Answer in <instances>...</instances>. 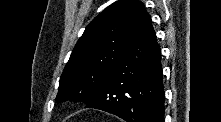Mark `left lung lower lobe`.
Segmentation results:
<instances>
[{
  "label": "left lung lower lobe",
  "instance_id": "0a47b994",
  "mask_svg": "<svg viewBox=\"0 0 221 122\" xmlns=\"http://www.w3.org/2000/svg\"><path fill=\"white\" fill-rule=\"evenodd\" d=\"M86 108L115 114L127 122H163L161 50L142 3L121 56Z\"/></svg>",
  "mask_w": 221,
  "mask_h": 122
}]
</instances>
